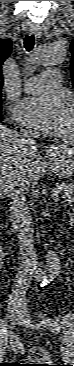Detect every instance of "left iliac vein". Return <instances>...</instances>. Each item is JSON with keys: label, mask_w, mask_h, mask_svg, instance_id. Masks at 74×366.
Returning <instances> with one entry per match:
<instances>
[{"label": "left iliac vein", "mask_w": 74, "mask_h": 366, "mask_svg": "<svg viewBox=\"0 0 74 366\" xmlns=\"http://www.w3.org/2000/svg\"><path fill=\"white\" fill-rule=\"evenodd\" d=\"M20 324L29 327L31 329H40L41 324L36 323L33 319L29 316L26 310L22 311V318ZM63 350V360H70V352L66 350V348H62Z\"/></svg>", "instance_id": "obj_1"}]
</instances>
